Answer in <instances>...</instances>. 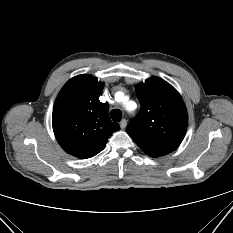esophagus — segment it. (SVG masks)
Wrapping results in <instances>:
<instances>
[{"mask_svg":"<svg viewBox=\"0 0 233 233\" xmlns=\"http://www.w3.org/2000/svg\"><path fill=\"white\" fill-rule=\"evenodd\" d=\"M126 125H127L126 119H122V120L120 121V127H121L122 129H124V128L126 127Z\"/></svg>","mask_w":233,"mask_h":233,"instance_id":"obj_1","label":"esophagus"}]
</instances>
